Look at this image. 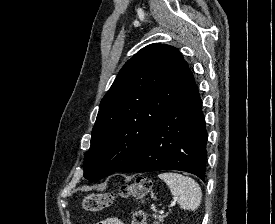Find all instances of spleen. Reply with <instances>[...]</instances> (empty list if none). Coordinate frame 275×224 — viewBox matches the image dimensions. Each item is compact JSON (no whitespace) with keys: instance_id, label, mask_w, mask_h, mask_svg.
I'll use <instances>...</instances> for the list:
<instances>
[{"instance_id":"obj_1","label":"spleen","mask_w":275,"mask_h":224,"mask_svg":"<svg viewBox=\"0 0 275 224\" xmlns=\"http://www.w3.org/2000/svg\"><path fill=\"white\" fill-rule=\"evenodd\" d=\"M170 188L171 194L178 198L182 209L195 211L201 203V189L192 178L178 173H161L158 175Z\"/></svg>"}]
</instances>
